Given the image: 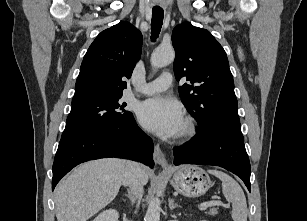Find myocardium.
<instances>
[{
  "mask_svg": "<svg viewBox=\"0 0 307 221\" xmlns=\"http://www.w3.org/2000/svg\"><path fill=\"white\" fill-rule=\"evenodd\" d=\"M196 134V123L195 120L188 116L184 120L182 131L179 134V138L186 140L192 138Z\"/></svg>",
  "mask_w": 307,
  "mask_h": 221,
  "instance_id": "obj_1",
  "label": "myocardium"
}]
</instances>
